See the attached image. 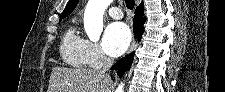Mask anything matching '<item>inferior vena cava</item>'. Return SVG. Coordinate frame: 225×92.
I'll return each mask as SVG.
<instances>
[{
  "label": "inferior vena cava",
  "mask_w": 225,
  "mask_h": 92,
  "mask_svg": "<svg viewBox=\"0 0 225 92\" xmlns=\"http://www.w3.org/2000/svg\"><path fill=\"white\" fill-rule=\"evenodd\" d=\"M113 62H114V60L112 58L104 56L103 57V68H102L103 72L108 71L112 67Z\"/></svg>",
  "instance_id": "obj_1"
}]
</instances>
